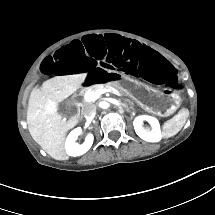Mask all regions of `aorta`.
<instances>
[{"label":"aorta","mask_w":215,"mask_h":215,"mask_svg":"<svg viewBox=\"0 0 215 215\" xmlns=\"http://www.w3.org/2000/svg\"><path fill=\"white\" fill-rule=\"evenodd\" d=\"M99 107L103 109L108 108V102H105V101L99 102Z\"/></svg>","instance_id":"aorta-1"}]
</instances>
